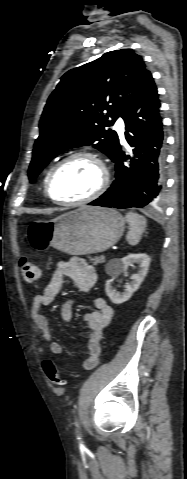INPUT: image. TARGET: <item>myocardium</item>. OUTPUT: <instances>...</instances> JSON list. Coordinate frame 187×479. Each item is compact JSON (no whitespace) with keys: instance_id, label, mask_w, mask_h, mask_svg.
<instances>
[{"instance_id":"myocardium-1","label":"myocardium","mask_w":187,"mask_h":479,"mask_svg":"<svg viewBox=\"0 0 187 479\" xmlns=\"http://www.w3.org/2000/svg\"><path fill=\"white\" fill-rule=\"evenodd\" d=\"M77 158H88L94 161L99 166L101 171V180L98 187L90 195L78 200L61 201L54 198L51 193V183H52L54 175L64 164ZM109 182H110V175H109L108 168L103 162V160L97 154L90 151H76L63 157L49 170L46 181H45V185H44V193L50 201L56 204L64 205V206H78V205L90 203L98 199L100 196H102L107 190L109 186Z\"/></svg>"}]
</instances>
